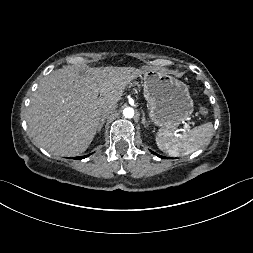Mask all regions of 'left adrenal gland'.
Segmentation results:
<instances>
[{
	"label": "left adrenal gland",
	"instance_id": "a2214340",
	"mask_svg": "<svg viewBox=\"0 0 253 253\" xmlns=\"http://www.w3.org/2000/svg\"><path fill=\"white\" fill-rule=\"evenodd\" d=\"M142 124H143L145 127L148 126V123H147L146 118H145V113H144V111H142Z\"/></svg>",
	"mask_w": 253,
	"mask_h": 253
}]
</instances>
